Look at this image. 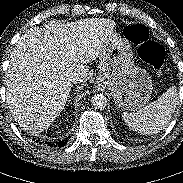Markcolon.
<instances>
[{
	"label": "colon",
	"instance_id": "obj_1",
	"mask_svg": "<svg viewBox=\"0 0 183 183\" xmlns=\"http://www.w3.org/2000/svg\"><path fill=\"white\" fill-rule=\"evenodd\" d=\"M124 34L136 46L139 57L160 72L165 50L162 45L150 39L148 29L140 24L130 25L125 28Z\"/></svg>",
	"mask_w": 183,
	"mask_h": 183
}]
</instances>
